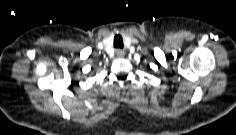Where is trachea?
Segmentation results:
<instances>
[{"label":"trachea","instance_id":"3493384b","mask_svg":"<svg viewBox=\"0 0 236 135\" xmlns=\"http://www.w3.org/2000/svg\"><path fill=\"white\" fill-rule=\"evenodd\" d=\"M114 47L115 48H122L123 47V41L120 37H115L114 39Z\"/></svg>","mask_w":236,"mask_h":135}]
</instances>
